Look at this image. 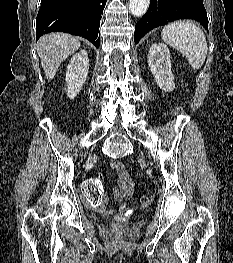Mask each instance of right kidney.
Listing matches in <instances>:
<instances>
[{
	"label": "right kidney",
	"mask_w": 233,
	"mask_h": 263,
	"mask_svg": "<svg viewBox=\"0 0 233 263\" xmlns=\"http://www.w3.org/2000/svg\"><path fill=\"white\" fill-rule=\"evenodd\" d=\"M89 70L88 53L86 50H81L76 53L70 60L67 66L66 83L67 95L70 99H74L80 92L81 87L86 81Z\"/></svg>",
	"instance_id": "obj_1"
}]
</instances>
